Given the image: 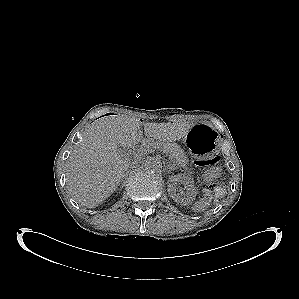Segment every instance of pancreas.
Masks as SVG:
<instances>
[{
    "label": "pancreas",
    "instance_id": "pancreas-1",
    "mask_svg": "<svg viewBox=\"0 0 299 299\" xmlns=\"http://www.w3.org/2000/svg\"><path fill=\"white\" fill-rule=\"evenodd\" d=\"M148 146L158 148L165 153L169 154L171 160H173L176 166L186 167L188 163L187 156L183 150L176 143H163L160 141H149Z\"/></svg>",
    "mask_w": 299,
    "mask_h": 299
}]
</instances>
